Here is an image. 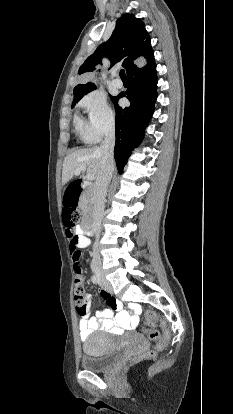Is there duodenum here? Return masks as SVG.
Returning <instances> with one entry per match:
<instances>
[{
  "mask_svg": "<svg viewBox=\"0 0 233 414\" xmlns=\"http://www.w3.org/2000/svg\"><path fill=\"white\" fill-rule=\"evenodd\" d=\"M86 186V182L81 179L77 180L75 178H72L69 181V184L64 190V193L66 194L65 200H63L61 203L65 212H72L75 209V205L78 203L79 196ZM86 199H91V190H86ZM89 210H93V205H88V211H84L82 214V217L84 219L82 228L85 232L93 234V214Z\"/></svg>",
  "mask_w": 233,
  "mask_h": 414,
  "instance_id": "410a0bca",
  "label": "duodenum"
}]
</instances>
